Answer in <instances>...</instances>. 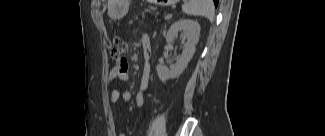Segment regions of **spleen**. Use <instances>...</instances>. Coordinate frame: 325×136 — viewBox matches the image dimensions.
I'll return each mask as SVG.
<instances>
[{"mask_svg":"<svg viewBox=\"0 0 325 136\" xmlns=\"http://www.w3.org/2000/svg\"><path fill=\"white\" fill-rule=\"evenodd\" d=\"M182 11L187 15L206 17L211 22L214 20L215 9L212 0H186Z\"/></svg>","mask_w":325,"mask_h":136,"instance_id":"spleen-1","label":"spleen"}]
</instances>
